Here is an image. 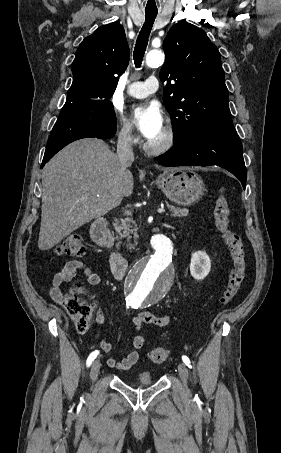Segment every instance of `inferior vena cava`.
<instances>
[{"label":"inferior vena cava","instance_id":"inferior-vena-cava-1","mask_svg":"<svg viewBox=\"0 0 281 453\" xmlns=\"http://www.w3.org/2000/svg\"><path fill=\"white\" fill-rule=\"evenodd\" d=\"M132 142L133 140L129 130H126V132H120L117 142V156H119V160L122 164L121 174H123L126 166H129V164H131L134 160Z\"/></svg>","mask_w":281,"mask_h":453}]
</instances>
